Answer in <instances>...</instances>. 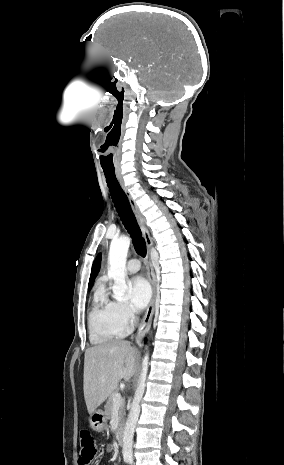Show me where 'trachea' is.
Wrapping results in <instances>:
<instances>
[{
    "label": "trachea",
    "instance_id": "obj_1",
    "mask_svg": "<svg viewBox=\"0 0 284 465\" xmlns=\"http://www.w3.org/2000/svg\"><path fill=\"white\" fill-rule=\"evenodd\" d=\"M103 171L115 208L123 225L132 238L134 248L139 255L145 257L147 252L145 240L142 237L141 230L132 212L129 200L117 180L115 170L103 169Z\"/></svg>",
    "mask_w": 284,
    "mask_h": 465
}]
</instances>
